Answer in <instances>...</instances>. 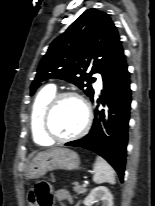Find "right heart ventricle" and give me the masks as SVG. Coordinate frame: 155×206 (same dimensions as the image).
<instances>
[{"label":"right heart ventricle","instance_id":"right-heart-ventricle-1","mask_svg":"<svg viewBox=\"0 0 155 206\" xmlns=\"http://www.w3.org/2000/svg\"><path fill=\"white\" fill-rule=\"evenodd\" d=\"M55 94V87L53 85H48L37 94L32 104L30 126L32 137L38 145L48 146L52 144V141L43 133L42 114L46 105Z\"/></svg>","mask_w":155,"mask_h":206}]
</instances>
